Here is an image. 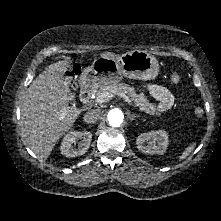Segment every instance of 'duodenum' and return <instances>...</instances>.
I'll use <instances>...</instances> for the list:
<instances>
[{
    "instance_id": "duodenum-1",
    "label": "duodenum",
    "mask_w": 221,
    "mask_h": 221,
    "mask_svg": "<svg viewBox=\"0 0 221 221\" xmlns=\"http://www.w3.org/2000/svg\"><path fill=\"white\" fill-rule=\"evenodd\" d=\"M94 94V89L88 85L82 87L80 91V100L83 104H89Z\"/></svg>"
}]
</instances>
